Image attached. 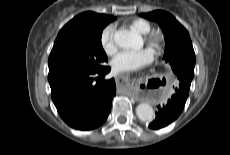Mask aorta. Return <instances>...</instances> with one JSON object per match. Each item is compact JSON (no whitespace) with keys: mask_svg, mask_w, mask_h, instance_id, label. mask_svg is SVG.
I'll return each mask as SVG.
<instances>
[{"mask_svg":"<svg viewBox=\"0 0 230 155\" xmlns=\"http://www.w3.org/2000/svg\"><path fill=\"white\" fill-rule=\"evenodd\" d=\"M114 42L121 48H132L142 43L140 37L128 29L118 30L114 35ZM136 114L143 122H151L154 119V110L148 103H140L136 107Z\"/></svg>","mask_w":230,"mask_h":155,"instance_id":"obj_1","label":"aorta"}]
</instances>
